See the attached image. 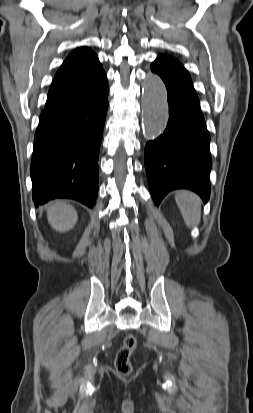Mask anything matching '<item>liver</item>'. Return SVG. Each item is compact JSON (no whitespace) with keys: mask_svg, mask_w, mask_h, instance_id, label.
Masks as SVG:
<instances>
[{"mask_svg":"<svg viewBox=\"0 0 253 413\" xmlns=\"http://www.w3.org/2000/svg\"><path fill=\"white\" fill-rule=\"evenodd\" d=\"M47 217L51 227L59 232L72 229L78 219L75 209L62 202L51 205L47 210Z\"/></svg>","mask_w":253,"mask_h":413,"instance_id":"6515ba94","label":"liver"}]
</instances>
